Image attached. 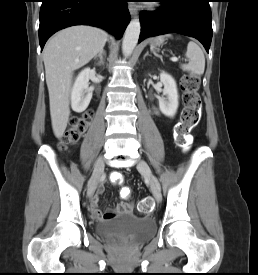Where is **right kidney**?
Instances as JSON below:
<instances>
[{"label":"right kidney","instance_id":"ca27d5eb","mask_svg":"<svg viewBox=\"0 0 258 275\" xmlns=\"http://www.w3.org/2000/svg\"><path fill=\"white\" fill-rule=\"evenodd\" d=\"M92 75L90 68L82 70L72 87L71 107L77 113L83 112L89 105L92 98V91L89 89V79Z\"/></svg>","mask_w":258,"mask_h":275}]
</instances>
